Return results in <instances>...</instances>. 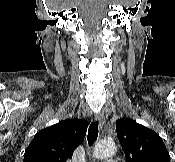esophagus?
Returning <instances> with one entry per match:
<instances>
[{
    "label": "esophagus",
    "instance_id": "esophagus-1",
    "mask_svg": "<svg viewBox=\"0 0 175 162\" xmlns=\"http://www.w3.org/2000/svg\"><path fill=\"white\" fill-rule=\"evenodd\" d=\"M95 120L98 121L100 127L102 128L104 123H105V118H104L103 113H101V112L96 113Z\"/></svg>",
    "mask_w": 175,
    "mask_h": 162
}]
</instances>
